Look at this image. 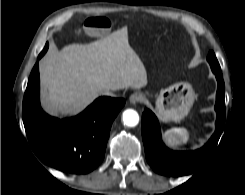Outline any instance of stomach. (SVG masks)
<instances>
[{
  "instance_id": "0dacf381",
  "label": "stomach",
  "mask_w": 245,
  "mask_h": 195,
  "mask_svg": "<svg viewBox=\"0 0 245 195\" xmlns=\"http://www.w3.org/2000/svg\"><path fill=\"white\" fill-rule=\"evenodd\" d=\"M195 97L192 85L188 82H177L162 89L155 102L158 117L163 122H180L188 115Z\"/></svg>"
}]
</instances>
